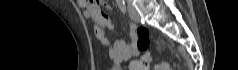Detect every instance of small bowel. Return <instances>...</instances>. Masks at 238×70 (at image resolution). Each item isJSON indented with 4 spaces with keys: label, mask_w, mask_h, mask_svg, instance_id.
I'll list each match as a JSON object with an SVG mask.
<instances>
[{
    "label": "small bowel",
    "mask_w": 238,
    "mask_h": 70,
    "mask_svg": "<svg viewBox=\"0 0 238 70\" xmlns=\"http://www.w3.org/2000/svg\"><path fill=\"white\" fill-rule=\"evenodd\" d=\"M77 2L79 7L83 10L84 16L92 19L96 24V36L102 45L108 46L109 55L114 61L115 67H118L122 62L139 54L140 50L137 47L136 27L134 25L128 28V35L131 39L130 44L119 40L111 45L109 39L104 34V30H113L114 25L101 10L100 2L93 3L87 0H78Z\"/></svg>",
    "instance_id": "obj_1"
}]
</instances>
